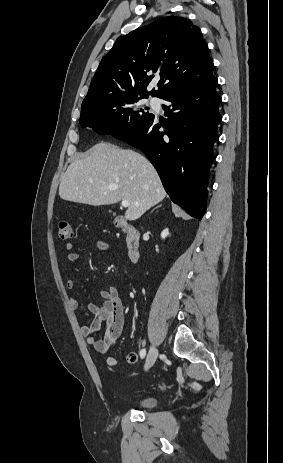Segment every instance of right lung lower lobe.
<instances>
[{
  "instance_id": "right-lung-lower-lobe-1",
  "label": "right lung lower lobe",
  "mask_w": 283,
  "mask_h": 463,
  "mask_svg": "<svg viewBox=\"0 0 283 463\" xmlns=\"http://www.w3.org/2000/svg\"><path fill=\"white\" fill-rule=\"evenodd\" d=\"M217 82L212 77L168 93L162 97L171 103L163 106L165 123L159 124L153 115L136 130L114 136L142 150L171 200L198 220L206 211L212 146L219 138L217 126L222 119Z\"/></svg>"
}]
</instances>
